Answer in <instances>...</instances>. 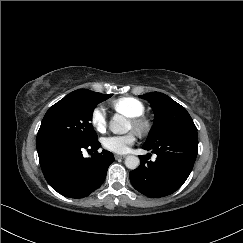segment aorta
<instances>
[{"mask_svg": "<svg viewBox=\"0 0 243 243\" xmlns=\"http://www.w3.org/2000/svg\"><path fill=\"white\" fill-rule=\"evenodd\" d=\"M109 129L114 134H125L130 130V124L125 117L115 114L109 123ZM140 160L137 156L128 155L125 158V165L128 169L134 170L138 168Z\"/></svg>", "mask_w": 243, "mask_h": 243, "instance_id": "obj_1", "label": "aorta"}]
</instances>
